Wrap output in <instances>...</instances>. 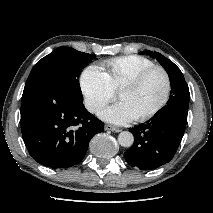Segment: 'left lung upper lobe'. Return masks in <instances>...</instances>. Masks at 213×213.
Wrapping results in <instances>:
<instances>
[{
  "label": "left lung upper lobe",
  "instance_id": "obj_1",
  "mask_svg": "<svg viewBox=\"0 0 213 213\" xmlns=\"http://www.w3.org/2000/svg\"><path fill=\"white\" fill-rule=\"evenodd\" d=\"M142 53L156 58L168 73L171 90L169 102L164 110L179 109L188 112L190 93L181 70L169 59L158 52L144 51ZM163 110V111H164Z\"/></svg>",
  "mask_w": 213,
  "mask_h": 213
}]
</instances>
